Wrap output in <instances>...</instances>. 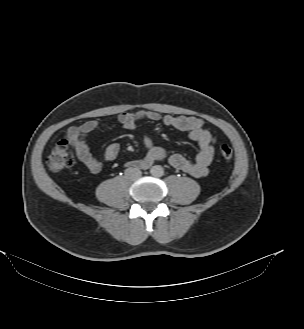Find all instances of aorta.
I'll list each match as a JSON object with an SVG mask.
<instances>
[{
	"label": "aorta",
	"instance_id": "1",
	"mask_svg": "<svg viewBox=\"0 0 304 329\" xmlns=\"http://www.w3.org/2000/svg\"><path fill=\"white\" fill-rule=\"evenodd\" d=\"M151 174L153 175V176H156V177H160V176H162L163 175V173H164V170H163V167L162 166H160V165H155V166H153L152 168H151Z\"/></svg>",
	"mask_w": 304,
	"mask_h": 329
}]
</instances>
